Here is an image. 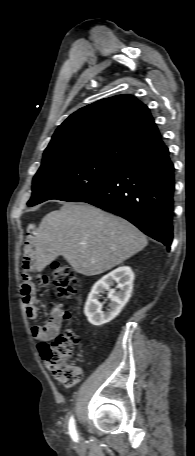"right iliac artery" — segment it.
I'll use <instances>...</instances> for the list:
<instances>
[{"mask_svg":"<svg viewBox=\"0 0 195 456\" xmlns=\"http://www.w3.org/2000/svg\"><path fill=\"white\" fill-rule=\"evenodd\" d=\"M69 433L73 440L78 439V434H77L76 427H75V420H74L73 416L69 420Z\"/></svg>","mask_w":195,"mask_h":456,"instance_id":"1","label":"right iliac artery"}]
</instances>
